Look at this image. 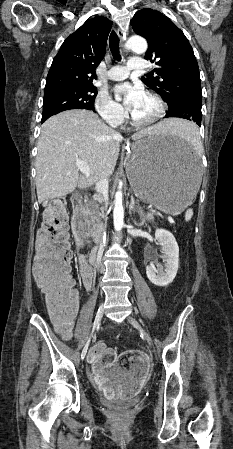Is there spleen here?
<instances>
[{"mask_svg": "<svg viewBox=\"0 0 233 449\" xmlns=\"http://www.w3.org/2000/svg\"><path fill=\"white\" fill-rule=\"evenodd\" d=\"M178 142H190L193 145L199 143L197 135V124L195 125H177L176 134H171V138H176ZM193 216V209L189 208L185 212V220L189 221Z\"/></svg>", "mask_w": 233, "mask_h": 449, "instance_id": "spleen-1", "label": "spleen"}]
</instances>
